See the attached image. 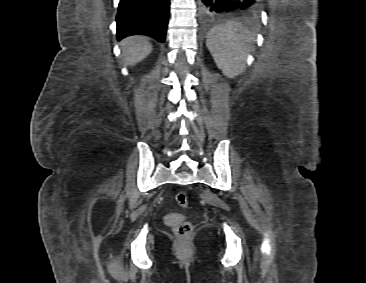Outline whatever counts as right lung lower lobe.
<instances>
[{
    "mask_svg": "<svg viewBox=\"0 0 366 283\" xmlns=\"http://www.w3.org/2000/svg\"><path fill=\"white\" fill-rule=\"evenodd\" d=\"M170 0H120L117 39L142 34L165 41Z\"/></svg>",
    "mask_w": 366,
    "mask_h": 283,
    "instance_id": "right-lung-lower-lobe-1",
    "label": "right lung lower lobe"
}]
</instances>
